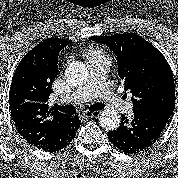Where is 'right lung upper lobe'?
<instances>
[{
	"label": "right lung upper lobe",
	"mask_w": 178,
	"mask_h": 178,
	"mask_svg": "<svg viewBox=\"0 0 178 178\" xmlns=\"http://www.w3.org/2000/svg\"><path fill=\"white\" fill-rule=\"evenodd\" d=\"M71 42L49 38L39 43L19 63L12 79L11 116L20 135L39 148L77 120L48 105L53 80L58 75V56Z\"/></svg>",
	"instance_id": "cb5924a9"
}]
</instances>
